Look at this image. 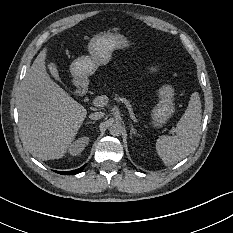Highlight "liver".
Wrapping results in <instances>:
<instances>
[{
	"label": "liver",
	"mask_w": 233,
	"mask_h": 233,
	"mask_svg": "<svg viewBox=\"0 0 233 233\" xmlns=\"http://www.w3.org/2000/svg\"><path fill=\"white\" fill-rule=\"evenodd\" d=\"M47 48L28 70L18 99L23 144L42 160L64 156L87 115L86 108L47 73Z\"/></svg>",
	"instance_id": "6515ba94"
}]
</instances>
